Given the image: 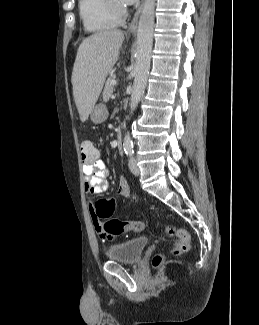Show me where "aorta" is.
Wrapping results in <instances>:
<instances>
[{"label": "aorta", "mask_w": 259, "mask_h": 325, "mask_svg": "<svg viewBox=\"0 0 259 325\" xmlns=\"http://www.w3.org/2000/svg\"><path fill=\"white\" fill-rule=\"evenodd\" d=\"M155 5V0H145L138 24L134 83L130 99L131 113L136 109L144 94L149 75L153 46ZM124 144L127 148L132 146L129 132L125 135Z\"/></svg>", "instance_id": "1"}]
</instances>
